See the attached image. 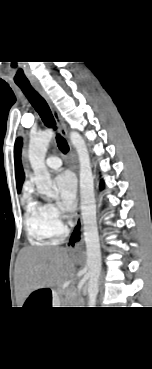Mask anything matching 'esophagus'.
Wrapping results in <instances>:
<instances>
[{
    "label": "esophagus",
    "mask_w": 152,
    "mask_h": 369,
    "mask_svg": "<svg viewBox=\"0 0 152 369\" xmlns=\"http://www.w3.org/2000/svg\"><path fill=\"white\" fill-rule=\"evenodd\" d=\"M32 86L40 93V95L45 99L48 106L50 107V110L52 112V115L59 126L61 135L67 140L69 149H70V156L72 159V162L74 164V168L78 170V161L76 157V153L74 150V147L72 146L69 138H68V132L66 128V124L64 120L62 119L59 111L57 110L54 103L51 101L50 97L46 93V91L43 89V87L38 82H32ZM82 218L81 215L78 214L75 220V224L72 228V231L67 239L66 246L67 248L71 250H77L80 248L81 242H82Z\"/></svg>",
    "instance_id": "obj_1"
}]
</instances>
